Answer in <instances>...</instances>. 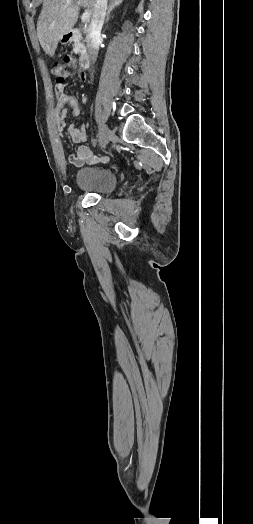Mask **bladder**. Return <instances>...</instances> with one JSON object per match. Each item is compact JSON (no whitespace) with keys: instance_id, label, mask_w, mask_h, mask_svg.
Instances as JSON below:
<instances>
[{"instance_id":"1","label":"bladder","mask_w":253,"mask_h":524,"mask_svg":"<svg viewBox=\"0 0 253 524\" xmlns=\"http://www.w3.org/2000/svg\"><path fill=\"white\" fill-rule=\"evenodd\" d=\"M119 183L117 174L108 169L84 168L77 173V186L88 193L107 195L113 192Z\"/></svg>"}]
</instances>
